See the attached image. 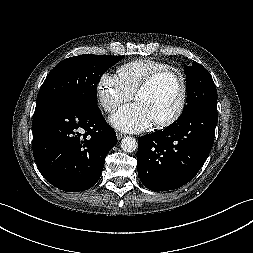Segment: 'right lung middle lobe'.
<instances>
[{
    "label": "right lung middle lobe",
    "instance_id": "1",
    "mask_svg": "<svg viewBox=\"0 0 253 253\" xmlns=\"http://www.w3.org/2000/svg\"><path fill=\"white\" fill-rule=\"evenodd\" d=\"M123 57L85 54L61 61L46 77L36 105L57 101L84 110L98 109L96 89L100 78Z\"/></svg>",
    "mask_w": 253,
    "mask_h": 253
}]
</instances>
